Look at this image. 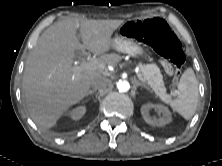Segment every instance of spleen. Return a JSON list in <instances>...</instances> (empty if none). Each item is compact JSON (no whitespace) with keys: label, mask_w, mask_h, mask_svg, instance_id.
<instances>
[{"label":"spleen","mask_w":222,"mask_h":166,"mask_svg":"<svg viewBox=\"0 0 222 166\" xmlns=\"http://www.w3.org/2000/svg\"><path fill=\"white\" fill-rule=\"evenodd\" d=\"M179 96L170 102L171 108L184 119L189 120L195 114L198 103V82L192 68H187L178 83Z\"/></svg>","instance_id":"spleen-1"}]
</instances>
